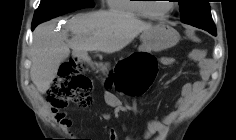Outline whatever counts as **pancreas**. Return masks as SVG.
<instances>
[{
  "mask_svg": "<svg viewBox=\"0 0 236 140\" xmlns=\"http://www.w3.org/2000/svg\"><path fill=\"white\" fill-rule=\"evenodd\" d=\"M97 67L100 68V70L105 71L107 69L108 65L107 64L104 65V64L100 63L97 65Z\"/></svg>",
  "mask_w": 236,
  "mask_h": 140,
  "instance_id": "obj_1",
  "label": "pancreas"
}]
</instances>
